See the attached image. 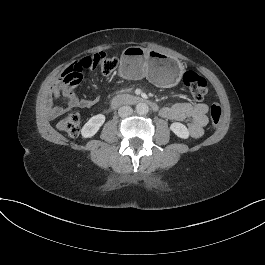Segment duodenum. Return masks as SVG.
Here are the masks:
<instances>
[{
    "label": "duodenum",
    "mask_w": 265,
    "mask_h": 265,
    "mask_svg": "<svg viewBox=\"0 0 265 265\" xmlns=\"http://www.w3.org/2000/svg\"><path fill=\"white\" fill-rule=\"evenodd\" d=\"M136 104H147L151 107L154 111L159 110L158 105L152 101L143 99L139 96H133V95H121L117 96L112 101L113 107H119L122 105H136ZM160 112V110H159Z\"/></svg>",
    "instance_id": "duodenum-1"
}]
</instances>
